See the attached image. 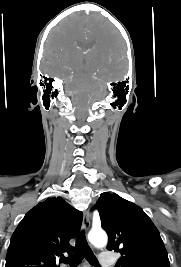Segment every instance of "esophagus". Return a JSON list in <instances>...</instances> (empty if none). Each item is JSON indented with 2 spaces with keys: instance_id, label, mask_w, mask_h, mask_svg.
<instances>
[{
  "instance_id": "1",
  "label": "esophagus",
  "mask_w": 181,
  "mask_h": 267,
  "mask_svg": "<svg viewBox=\"0 0 181 267\" xmlns=\"http://www.w3.org/2000/svg\"><path fill=\"white\" fill-rule=\"evenodd\" d=\"M90 224H91V221H90V214H89V211H84V214H83V229L85 231H88L89 228H90Z\"/></svg>"
}]
</instances>
